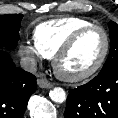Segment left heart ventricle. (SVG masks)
<instances>
[{
	"label": "left heart ventricle",
	"mask_w": 118,
	"mask_h": 118,
	"mask_svg": "<svg viewBox=\"0 0 118 118\" xmlns=\"http://www.w3.org/2000/svg\"><path fill=\"white\" fill-rule=\"evenodd\" d=\"M104 50V37L98 30L84 34L73 48L60 60V69L70 75H77L92 68Z\"/></svg>",
	"instance_id": "obj_1"
}]
</instances>
